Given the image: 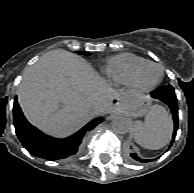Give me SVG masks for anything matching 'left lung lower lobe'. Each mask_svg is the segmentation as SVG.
Masks as SVG:
<instances>
[{
	"label": "left lung lower lobe",
	"instance_id": "left-lung-lower-lobe-1",
	"mask_svg": "<svg viewBox=\"0 0 194 193\" xmlns=\"http://www.w3.org/2000/svg\"><path fill=\"white\" fill-rule=\"evenodd\" d=\"M153 98L159 99L165 104H167L172 112L174 120V132L172 139L174 140L176 132L178 129V108H177V98L174 92V88L171 85H166L156 91L151 92ZM130 156L140 162H149L150 160H144L137 156L136 153H131Z\"/></svg>",
	"mask_w": 194,
	"mask_h": 193
}]
</instances>
